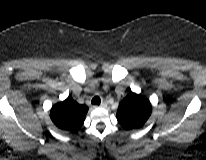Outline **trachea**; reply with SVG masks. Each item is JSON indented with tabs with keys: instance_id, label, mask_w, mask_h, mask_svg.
<instances>
[{
	"instance_id": "1",
	"label": "trachea",
	"mask_w": 206,
	"mask_h": 160,
	"mask_svg": "<svg viewBox=\"0 0 206 160\" xmlns=\"http://www.w3.org/2000/svg\"><path fill=\"white\" fill-rule=\"evenodd\" d=\"M91 103H92L93 105H99V104L101 103L100 97H99V96H95V97L92 99Z\"/></svg>"
}]
</instances>
